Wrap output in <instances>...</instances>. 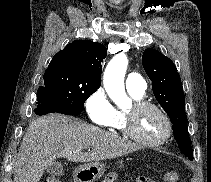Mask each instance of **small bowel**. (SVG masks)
I'll use <instances>...</instances> for the list:
<instances>
[{"instance_id":"c3829d8e","label":"small bowel","mask_w":211,"mask_h":182,"mask_svg":"<svg viewBox=\"0 0 211 182\" xmlns=\"http://www.w3.org/2000/svg\"><path fill=\"white\" fill-rule=\"evenodd\" d=\"M137 182H155V181L147 179V178H140L137 180Z\"/></svg>"}]
</instances>
